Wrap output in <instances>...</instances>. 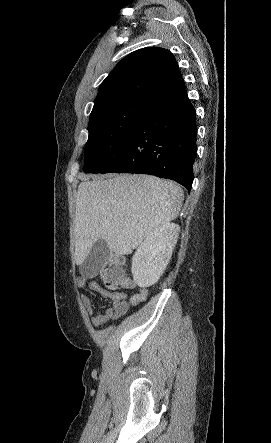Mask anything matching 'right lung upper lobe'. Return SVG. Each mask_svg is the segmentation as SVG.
Masks as SVG:
<instances>
[{
  "label": "right lung upper lobe",
  "mask_w": 271,
  "mask_h": 443,
  "mask_svg": "<svg viewBox=\"0 0 271 443\" xmlns=\"http://www.w3.org/2000/svg\"><path fill=\"white\" fill-rule=\"evenodd\" d=\"M178 64L168 50L148 47L124 57L101 83L94 107L124 100L142 99L152 104L185 92Z\"/></svg>",
  "instance_id": "obj_1"
}]
</instances>
